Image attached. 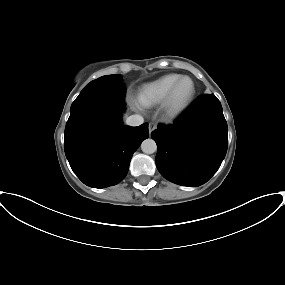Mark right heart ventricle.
Returning a JSON list of instances; mask_svg holds the SVG:
<instances>
[{
    "label": "right heart ventricle",
    "instance_id": "e07e8e85",
    "mask_svg": "<svg viewBox=\"0 0 285 285\" xmlns=\"http://www.w3.org/2000/svg\"><path fill=\"white\" fill-rule=\"evenodd\" d=\"M182 77L180 74H167L144 84L138 91L137 102L142 107H153L164 101L173 85Z\"/></svg>",
    "mask_w": 285,
    "mask_h": 285
}]
</instances>
